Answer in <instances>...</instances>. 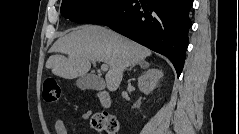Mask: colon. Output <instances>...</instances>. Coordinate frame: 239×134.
<instances>
[{
	"label": "colon",
	"instance_id": "colon-1",
	"mask_svg": "<svg viewBox=\"0 0 239 134\" xmlns=\"http://www.w3.org/2000/svg\"><path fill=\"white\" fill-rule=\"evenodd\" d=\"M43 98L48 103H56L61 98V89L58 82L51 77L43 81ZM92 127L104 134H117L119 122L113 115L108 113H98L92 117Z\"/></svg>",
	"mask_w": 239,
	"mask_h": 134
}]
</instances>
